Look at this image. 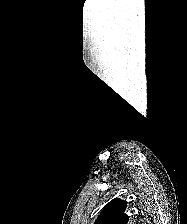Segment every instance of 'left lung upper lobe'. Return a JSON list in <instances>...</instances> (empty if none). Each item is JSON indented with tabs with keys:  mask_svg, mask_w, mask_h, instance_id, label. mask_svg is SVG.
<instances>
[{
	"mask_svg": "<svg viewBox=\"0 0 187 224\" xmlns=\"http://www.w3.org/2000/svg\"><path fill=\"white\" fill-rule=\"evenodd\" d=\"M126 206V201L113 199L103 208L94 224H127Z\"/></svg>",
	"mask_w": 187,
	"mask_h": 224,
	"instance_id": "left-lung-upper-lobe-1",
	"label": "left lung upper lobe"
}]
</instances>
